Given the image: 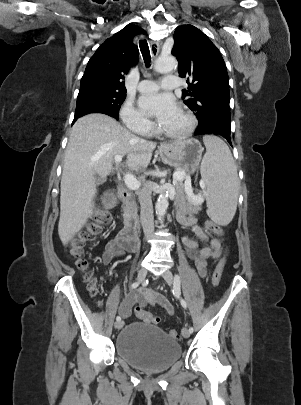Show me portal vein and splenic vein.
Segmentation results:
<instances>
[{
    "mask_svg": "<svg viewBox=\"0 0 301 405\" xmlns=\"http://www.w3.org/2000/svg\"><path fill=\"white\" fill-rule=\"evenodd\" d=\"M114 161L115 163H120L122 161V156L121 155H115L114 156ZM184 179H186L188 182L190 181V177L188 175H186L185 172L182 171H177L173 174V182L176 183L177 181H183ZM124 182L127 185L128 188H130L131 190H137L141 183L131 174H125L124 175ZM204 194L205 191L203 190ZM186 193L187 195L195 202H203L204 198L201 195H194L193 190L190 189H186Z\"/></svg>",
    "mask_w": 301,
    "mask_h": 405,
    "instance_id": "18ae733b",
    "label": "portal vein and splenic vein"
}]
</instances>
